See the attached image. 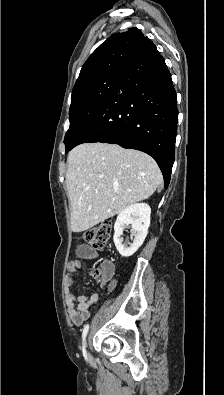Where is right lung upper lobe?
I'll return each mask as SVG.
<instances>
[{
	"label": "right lung upper lobe",
	"mask_w": 224,
	"mask_h": 395,
	"mask_svg": "<svg viewBox=\"0 0 224 395\" xmlns=\"http://www.w3.org/2000/svg\"><path fill=\"white\" fill-rule=\"evenodd\" d=\"M145 38L138 28L111 35L84 63L73 91L104 75L122 73Z\"/></svg>",
	"instance_id": "obj_1"
}]
</instances>
